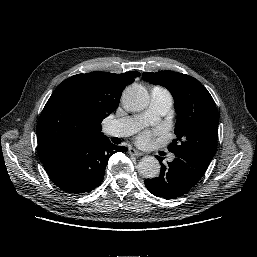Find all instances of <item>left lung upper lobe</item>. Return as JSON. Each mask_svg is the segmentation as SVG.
<instances>
[{"mask_svg": "<svg viewBox=\"0 0 257 257\" xmlns=\"http://www.w3.org/2000/svg\"><path fill=\"white\" fill-rule=\"evenodd\" d=\"M151 84L166 87L177 112L170 152L191 151L212 160L217 149L219 113L208 90L195 78L174 71L145 72Z\"/></svg>", "mask_w": 257, "mask_h": 257, "instance_id": "5c2ea615", "label": "left lung upper lobe"}]
</instances>
